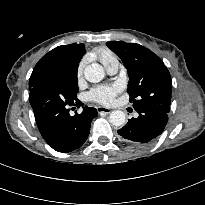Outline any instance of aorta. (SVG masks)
Instances as JSON below:
<instances>
[{"instance_id":"aorta-1","label":"aorta","mask_w":205,"mask_h":205,"mask_svg":"<svg viewBox=\"0 0 205 205\" xmlns=\"http://www.w3.org/2000/svg\"><path fill=\"white\" fill-rule=\"evenodd\" d=\"M84 76L87 81L98 83L105 77V71L101 65L93 63L85 67ZM109 121L114 126H121L126 121L125 113L120 110H114L110 113Z\"/></svg>"}]
</instances>
